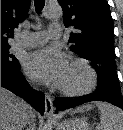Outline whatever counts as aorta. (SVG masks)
I'll return each mask as SVG.
<instances>
[{
  "label": "aorta",
  "instance_id": "762f6f07",
  "mask_svg": "<svg viewBox=\"0 0 123 130\" xmlns=\"http://www.w3.org/2000/svg\"><path fill=\"white\" fill-rule=\"evenodd\" d=\"M62 8L61 6L55 2V3H50L43 12V15L48 18V19H55V18H60L62 16Z\"/></svg>",
  "mask_w": 123,
  "mask_h": 130
}]
</instances>
